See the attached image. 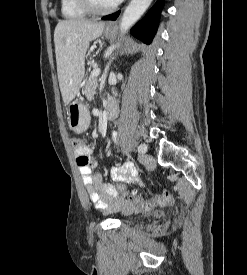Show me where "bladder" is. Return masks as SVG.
Wrapping results in <instances>:
<instances>
[{"label": "bladder", "instance_id": "31cf9c89", "mask_svg": "<svg viewBox=\"0 0 247 275\" xmlns=\"http://www.w3.org/2000/svg\"><path fill=\"white\" fill-rule=\"evenodd\" d=\"M133 211L132 210H128V214H131Z\"/></svg>", "mask_w": 247, "mask_h": 275}]
</instances>
